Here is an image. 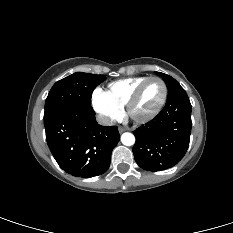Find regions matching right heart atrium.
I'll list each match as a JSON object with an SVG mask.
<instances>
[{
    "instance_id": "right-heart-atrium-1",
    "label": "right heart atrium",
    "mask_w": 233,
    "mask_h": 233,
    "mask_svg": "<svg viewBox=\"0 0 233 233\" xmlns=\"http://www.w3.org/2000/svg\"><path fill=\"white\" fill-rule=\"evenodd\" d=\"M92 105L105 124H112L117 121L123 113L122 108L112 103L101 89H96L93 92Z\"/></svg>"
}]
</instances>
